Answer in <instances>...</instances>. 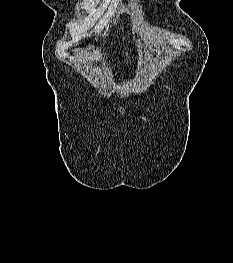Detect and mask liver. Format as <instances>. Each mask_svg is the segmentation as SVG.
<instances>
[{"label": "liver", "mask_w": 233, "mask_h": 263, "mask_svg": "<svg viewBox=\"0 0 233 263\" xmlns=\"http://www.w3.org/2000/svg\"><path fill=\"white\" fill-rule=\"evenodd\" d=\"M85 53H86V55H88L89 57H91V56L94 55L95 50H93V52L86 51Z\"/></svg>", "instance_id": "1"}]
</instances>
